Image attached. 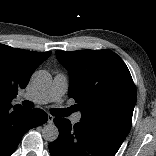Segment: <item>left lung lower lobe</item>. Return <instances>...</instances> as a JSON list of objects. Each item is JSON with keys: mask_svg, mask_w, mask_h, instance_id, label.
Segmentation results:
<instances>
[{"mask_svg": "<svg viewBox=\"0 0 156 156\" xmlns=\"http://www.w3.org/2000/svg\"><path fill=\"white\" fill-rule=\"evenodd\" d=\"M58 138L49 144L51 156H114L126 138L117 129L99 124L55 118Z\"/></svg>", "mask_w": 156, "mask_h": 156, "instance_id": "1", "label": "left lung lower lobe"}]
</instances>
